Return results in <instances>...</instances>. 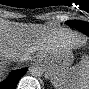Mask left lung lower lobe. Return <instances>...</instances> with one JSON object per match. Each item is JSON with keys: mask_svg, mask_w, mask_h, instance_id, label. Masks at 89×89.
I'll return each instance as SVG.
<instances>
[{"mask_svg": "<svg viewBox=\"0 0 89 89\" xmlns=\"http://www.w3.org/2000/svg\"><path fill=\"white\" fill-rule=\"evenodd\" d=\"M79 31H81V32H83V33H85L86 35H88L89 36V29H88V26H86V27H79V28H77Z\"/></svg>", "mask_w": 89, "mask_h": 89, "instance_id": "left-lung-lower-lobe-1", "label": "left lung lower lobe"}]
</instances>
